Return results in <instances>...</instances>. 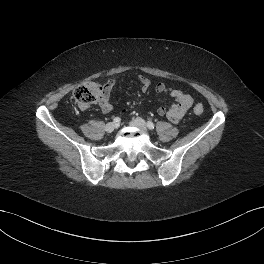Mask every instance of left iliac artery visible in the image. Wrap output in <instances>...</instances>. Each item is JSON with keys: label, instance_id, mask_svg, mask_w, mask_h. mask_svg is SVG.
Masks as SVG:
<instances>
[{"label": "left iliac artery", "instance_id": "1", "mask_svg": "<svg viewBox=\"0 0 264 264\" xmlns=\"http://www.w3.org/2000/svg\"><path fill=\"white\" fill-rule=\"evenodd\" d=\"M147 127L149 128V129H154V123L153 122H151V121H148L147 122Z\"/></svg>", "mask_w": 264, "mask_h": 264}]
</instances>
